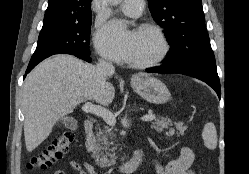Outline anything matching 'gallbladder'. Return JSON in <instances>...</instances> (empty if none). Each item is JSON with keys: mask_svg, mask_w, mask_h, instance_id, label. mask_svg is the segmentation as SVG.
<instances>
[{"mask_svg": "<svg viewBox=\"0 0 249 174\" xmlns=\"http://www.w3.org/2000/svg\"><path fill=\"white\" fill-rule=\"evenodd\" d=\"M61 122L68 129L75 130L77 128V121L73 117H63Z\"/></svg>", "mask_w": 249, "mask_h": 174, "instance_id": "1", "label": "gallbladder"}]
</instances>
